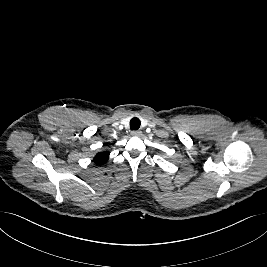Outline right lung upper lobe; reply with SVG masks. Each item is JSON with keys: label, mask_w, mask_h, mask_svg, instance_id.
<instances>
[{"label": "right lung upper lobe", "mask_w": 267, "mask_h": 267, "mask_svg": "<svg viewBox=\"0 0 267 267\" xmlns=\"http://www.w3.org/2000/svg\"><path fill=\"white\" fill-rule=\"evenodd\" d=\"M109 157V153L107 151L104 152H99L95 157H94V162L97 165H102L107 162Z\"/></svg>", "instance_id": "obj_1"}]
</instances>
